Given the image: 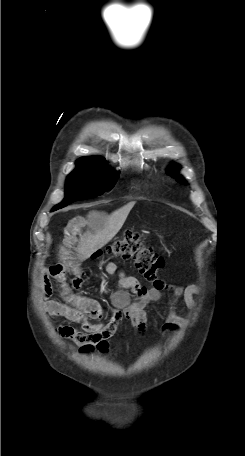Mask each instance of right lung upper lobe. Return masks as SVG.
<instances>
[{
	"instance_id": "1",
	"label": "right lung upper lobe",
	"mask_w": 245,
	"mask_h": 456,
	"mask_svg": "<svg viewBox=\"0 0 245 456\" xmlns=\"http://www.w3.org/2000/svg\"><path fill=\"white\" fill-rule=\"evenodd\" d=\"M106 162L103 158L92 156L89 158H80L77 161V166H93V165H101Z\"/></svg>"
}]
</instances>
